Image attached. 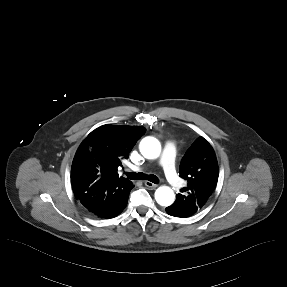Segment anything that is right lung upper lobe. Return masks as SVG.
I'll return each instance as SVG.
<instances>
[{
  "label": "right lung upper lobe",
  "instance_id": "1",
  "mask_svg": "<svg viewBox=\"0 0 287 287\" xmlns=\"http://www.w3.org/2000/svg\"><path fill=\"white\" fill-rule=\"evenodd\" d=\"M145 128L139 126L103 125L92 131L79 146L71 167V181L76 199L86 196L94 182L129 180L119 177L117 170L122 159L137 140L144 135Z\"/></svg>",
  "mask_w": 287,
  "mask_h": 287
}]
</instances>
